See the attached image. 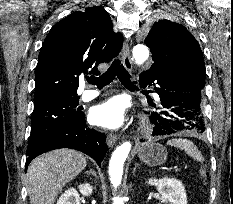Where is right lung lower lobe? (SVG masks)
Here are the masks:
<instances>
[{"label":"right lung lower lobe","instance_id":"obj_1","mask_svg":"<svg viewBox=\"0 0 233 204\" xmlns=\"http://www.w3.org/2000/svg\"><path fill=\"white\" fill-rule=\"evenodd\" d=\"M105 134L87 128L83 113L75 122L47 136L37 144L28 147L25 171L29 163L38 155L59 148H71L92 157L101 167L108 147Z\"/></svg>","mask_w":233,"mask_h":204}]
</instances>
